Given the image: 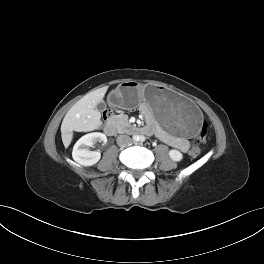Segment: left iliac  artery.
Listing matches in <instances>:
<instances>
[{
  "mask_svg": "<svg viewBox=\"0 0 264 264\" xmlns=\"http://www.w3.org/2000/svg\"><path fill=\"white\" fill-rule=\"evenodd\" d=\"M140 141H141V142H144V141H145V137H144V136H141V137H140Z\"/></svg>",
  "mask_w": 264,
  "mask_h": 264,
  "instance_id": "obj_1",
  "label": "left iliac artery"
}]
</instances>
